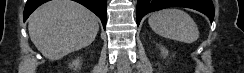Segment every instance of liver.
Wrapping results in <instances>:
<instances>
[{
  "instance_id": "1",
  "label": "liver",
  "mask_w": 244,
  "mask_h": 73,
  "mask_svg": "<svg viewBox=\"0 0 244 73\" xmlns=\"http://www.w3.org/2000/svg\"><path fill=\"white\" fill-rule=\"evenodd\" d=\"M98 21L95 14L75 1L53 0L30 15L28 30L41 54L55 61L90 45L99 31Z\"/></svg>"
}]
</instances>
